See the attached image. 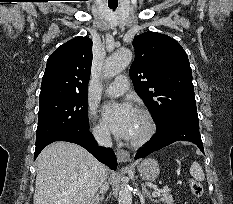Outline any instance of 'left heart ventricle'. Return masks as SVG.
<instances>
[{
  "label": "left heart ventricle",
  "instance_id": "b2bd125f",
  "mask_svg": "<svg viewBox=\"0 0 233 204\" xmlns=\"http://www.w3.org/2000/svg\"><path fill=\"white\" fill-rule=\"evenodd\" d=\"M145 131V122L141 115L135 113L133 118L131 133L129 139H135L141 136Z\"/></svg>",
  "mask_w": 233,
  "mask_h": 204
}]
</instances>
